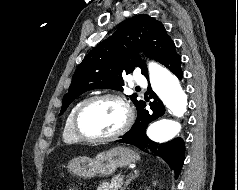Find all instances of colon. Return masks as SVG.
Masks as SVG:
<instances>
[{
    "label": "colon",
    "instance_id": "5ec220e1",
    "mask_svg": "<svg viewBox=\"0 0 238 190\" xmlns=\"http://www.w3.org/2000/svg\"><path fill=\"white\" fill-rule=\"evenodd\" d=\"M67 190H77L75 187H69Z\"/></svg>",
    "mask_w": 238,
    "mask_h": 190
}]
</instances>
